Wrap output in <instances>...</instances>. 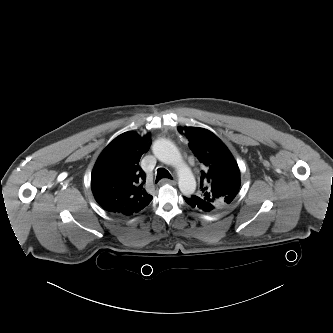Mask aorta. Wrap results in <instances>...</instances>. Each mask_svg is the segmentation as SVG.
<instances>
[{
    "label": "aorta",
    "mask_w": 333,
    "mask_h": 333,
    "mask_svg": "<svg viewBox=\"0 0 333 333\" xmlns=\"http://www.w3.org/2000/svg\"><path fill=\"white\" fill-rule=\"evenodd\" d=\"M152 150L159 161L176 167L180 191L184 195L193 194L196 180L190 168L183 163L181 153L174 143L167 139H158L154 142Z\"/></svg>",
    "instance_id": "aorta-1"
}]
</instances>
